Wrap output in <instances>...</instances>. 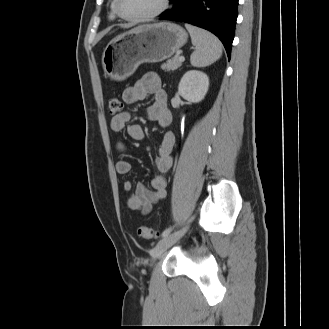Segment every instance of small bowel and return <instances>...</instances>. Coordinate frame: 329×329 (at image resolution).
<instances>
[{
	"label": "small bowel",
	"instance_id": "c3829d8e",
	"mask_svg": "<svg viewBox=\"0 0 329 329\" xmlns=\"http://www.w3.org/2000/svg\"><path fill=\"white\" fill-rule=\"evenodd\" d=\"M150 95L153 96V103L146 109V117L161 127L169 126L172 116L167 105V94L162 88V82L158 74L154 72L146 73L141 80L123 91L122 99L126 104H134ZM130 120L131 114L128 111L116 114L110 120V129L117 133L125 129L131 139L143 140L144 130L142 126L129 123ZM174 145V134L170 131L165 132L161 138L158 155L155 159L158 172L151 180L152 189H148L143 184H138L132 191L133 182L129 179L124 180V190L131 192L127 197V206L130 210H140L146 213L150 211L153 204L164 199L166 196V176L173 164L172 152ZM116 149L124 153L126 146L121 140H118ZM116 170L121 175H127L131 171V163L126 159H120L116 163Z\"/></svg>",
	"mask_w": 329,
	"mask_h": 329
}]
</instances>
